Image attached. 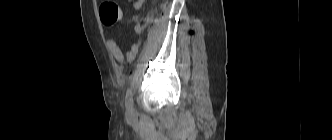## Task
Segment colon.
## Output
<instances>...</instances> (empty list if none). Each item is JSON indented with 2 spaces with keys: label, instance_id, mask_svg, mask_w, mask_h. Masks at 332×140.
I'll list each match as a JSON object with an SVG mask.
<instances>
[{
  "label": "colon",
  "instance_id": "5ec220e1",
  "mask_svg": "<svg viewBox=\"0 0 332 140\" xmlns=\"http://www.w3.org/2000/svg\"><path fill=\"white\" fill-rule=\"evenodd\" d=\"M101 21L106 26H113L122 19V12L117 3L112 0H103L100 8Z\"/></svg>",
  "mask_w": 332,
  "mask_h": 140
}]
</instances>
